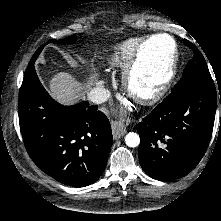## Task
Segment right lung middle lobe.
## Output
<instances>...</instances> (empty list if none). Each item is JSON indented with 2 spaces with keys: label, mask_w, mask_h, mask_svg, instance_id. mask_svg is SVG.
I'll return each mask as SVG.
<instances>
[{
  "label": "right lung middle lobe",
  "mask_w": 221,
  "mask_h": 221,
  "mask_svg": "<svg viewBox=\"0 0 221 221\" xmlns=\"http://www.w3.org/2000/svg\"><path fill=\"white\" fill-rule=\"evenodd\" d=\"M50 41L53 42V43H61V44H63V43H64V44H66V43H73V42L76 41V36L73 35V36H70V37H67V38L61 39V40H49L47 43H49ZM43 47H44V46H41V47L35 52V54L33 55L32 59H31V61H30V63H29V67L27 68L25 74H27V73L29 72L30 68L33 67V65H34V63H35V60L37 59L38 55H39L40 52L42 51Z\"/></svg>",
  "instance_id": "1"
}]
</instances>
